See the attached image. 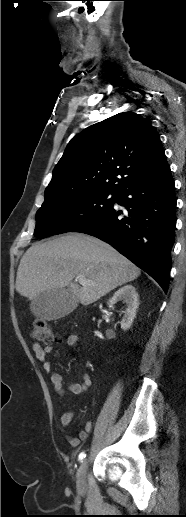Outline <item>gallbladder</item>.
I'll return each instance as SVG.
<instances>
[{"instance_id": "bac80fb5", "label": "gallbladder", "mask_w": 186, "mask_h": 517, "mask_svg": "<svg viewBox=\"0 0 186 517\" xmlns=\"http://www.w3.org/2000/svg\"><path fill=\"white\" fill-rule=\"evenodd\" d=\"M77 299L68 290H48L39 294L30 304L32 313L44 320H54L71 313Z\"/></svg>"}]
</instances>
